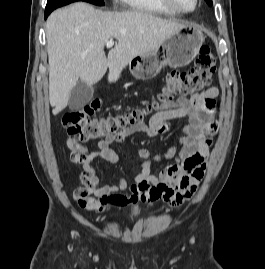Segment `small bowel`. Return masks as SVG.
Masks as SVG:
<instances>
[{
  "label": "small bowel",
  "instance_id": "small-bowel-1",
  "mask_svg": "<svg viewBox=\"0 0 265 269\" xmlns=\"http://www.w3.org/2000/svg\"><path fill=\"white\" fill-rule=\"evenodd\" d=\"M218 94L216 87H210L190 98L167 101L149 121L132 125L117 136L100 139L93 147L67 140L71 160L83 168L80 175L82 186L76 188L72 195L78 206L89 211L105 212L111 207L151 202L154 200L148 194L151 186L164 187L165 198L172 205L190 198L205 175L211 144L208 135L215 130V98ZM178 118H186L187 123L164 153L152 155L144 148L136 150L140 173L133 184L124 179L117 184L101 182L93 166L95 158L100 157L109 163L122 162V156L112 147L114 143L122 144L135 133L158 136L168 130L169 121ZM162 160H174V163L155 175L153 166Z\"/></svg>",
  "mask_w": 265,
  "mask_h": 269
}]
</instances>
